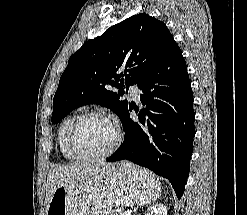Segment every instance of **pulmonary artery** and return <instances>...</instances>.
Returning a JSON list of instances; mask_svg holds the SVG:
<instances>
[{
	"mask_svg": "<svg viewBox=\"0 0 247 215\" xmlns=\"http://www.w3.org/2000/svg\"><path fill=\"white\" fill-rule=\"evenodd\" d=\"M129 92L130 95L135 99V100H139L140 98V89L137 87V85H131L129 87Z\"/></svg>",
	"mask_w": 247,
	"mask_h": 215,
	"instance_id": "1",
	"label": "pulmonary artery"
}]
</instances>
